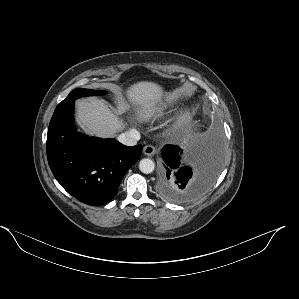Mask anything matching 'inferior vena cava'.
<instances>
[{"instance_id":"1","label":"inferior vena cava","mask_w":299,"mask_h":299,"mask_svg":"<svg viewBox=\"0 0 299 299\" xmlns=\"http://www.w3.org/2000/svg\"><path fill=\"white\" fill-rule=\"evenodd\" d=\"M118 141L126 146H134L140 139V133L136 129H130L118 136Z\"/></svg>"}]
</instances>
